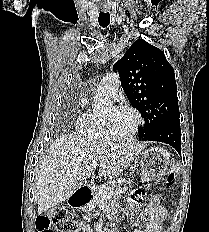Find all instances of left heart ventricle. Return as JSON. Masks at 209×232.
<instances>
[{"label": "left heart ventricle", "mask_w": 209, "mask_h": 232, "mask_svg": "<svg viewBox=\"0 0 209 232\" xmlns=\"http://www.w3.org/2000/svg\"><path fill=\"white\" fill-rule=\"evenodd\" d=\"M111 133L115 136H125L129 134L135 125L134 115L126 110H107Z\"/></svg>", "instance_id": "b2bd125f"}]
</instances>
